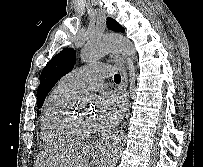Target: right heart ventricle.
I'll use <instances>...</instances> for the list:
<instances>
[{"mask_svg": "<svg viewBox=\"0 0 203 167\" xmlns=\"http://www.w3.org/2000/svg\"><path fill=\"white\" fill-rule=\"evenodd\" d=\"M75 93L76 89L60 81L47 97L41 116V136L48 144L61 145L75 140L64 127Z\"/></svg>", "mask_w": 203, "mask_h": 167, "instance_id": "obj_1", "label": "right heart ventricle"}]
</instances>
